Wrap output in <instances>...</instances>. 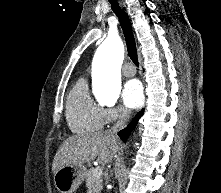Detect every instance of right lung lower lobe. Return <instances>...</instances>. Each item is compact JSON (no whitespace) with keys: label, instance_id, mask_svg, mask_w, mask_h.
<instances>
[{"label":"right lung lower lobe","instance_id":"obj_1","mask_svg":"<svg viewBox=\"0 0 221 193\" xmlns=\"http://www.w3.org/2000/svg\"><path fill=\"white\" fill-rule=\"evenodd\" d=\"M144 113V109H142L141 111H139L134 119L128 124V126L121 130L120 132H118L119 137L125 142L127 140V138L129 137L130 133L132 132V130L136 127L138 120L141 118V116Z\"/></svg>","mask_w":221,"mask_h":193}]
</instances>
